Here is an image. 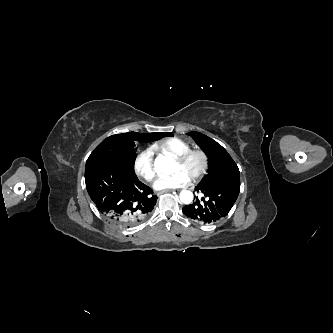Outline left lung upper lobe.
Returning a JSON list of instances; mask_svg holds the SVG:
<instances>
[{
  "instance_id": "5c2ea615",
  "label": "left lung upper lobe",
  "mask_w": 333,
  "mask_h": 333,
  "mask_svg": "<svg viewBox=\"0 0 333 333\" xmlns=\"http://www.w3.org/2000/svg\"><path fill=\"white\" fill-rule=\"evenodd\" d=\"M188 135L194 139L209 158L208 174L198 184V187H209L233 179L240 180L238 166L219 143L198 132H189Z\"/></svg>"
}]
</instances>
